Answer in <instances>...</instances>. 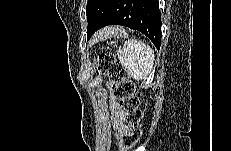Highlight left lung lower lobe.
<instances>
[{
  "instance_id": "1",
  "label": "left lung lower lobe",
  "mask_w": 231,
  "mask_h": 151,
  "mask_svg": "<svg viewBox=\"0 0 231 151\" xmlns=\"http://www.w3.org/2000/svg\"><path fill=\"white\" fill-rule=\"evenodd\" d=\"M112 24L142 32L159 50L162 34L158 0H111L97 26L87 32V40L95 31Z\"/></svg>"
}]
</instances>
